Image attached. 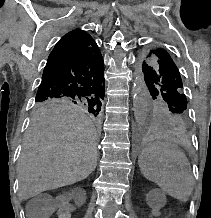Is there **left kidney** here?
<instances>
[{
    "label": "left kidney",
    "mask_w": 211,
    "mask_h": 218,
    "mask_svg": "<svg viewBox=\"0 0 211 218\" xmlns=\"http://www.w3.org/2000/svg\"><path fill=\"white\" fill-rule=\"evenodd\" d=\"M147 204H150V203H147ZM153 218H158V215H153Z\"/></svg>",
    "instance_id": "1"
}]
</instances>
